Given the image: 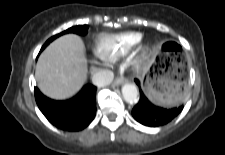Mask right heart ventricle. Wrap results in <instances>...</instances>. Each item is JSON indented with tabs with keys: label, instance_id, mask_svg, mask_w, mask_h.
<instances>
[{
	"label": "right heart ventricle",
	"instance_id": "e07e8e85",
	"mask_svg": "<svg viewBox=\"0 0 225 155\" xmlns=\"http://www.w3.org/2000/svg\"><path fill=\"white\" fill-rule=\"evenodd\" d=\"M142 40L139 32L104 35L98 39L97 53L106 60H116L127 54Z\"/></svg>",
	"mask_w": 225,
	"mask_h": 155
}]
</instances>
